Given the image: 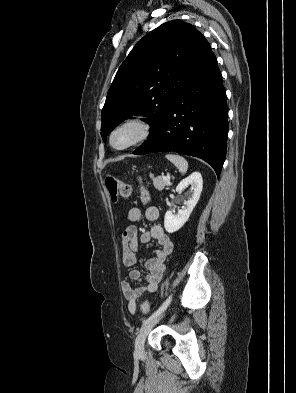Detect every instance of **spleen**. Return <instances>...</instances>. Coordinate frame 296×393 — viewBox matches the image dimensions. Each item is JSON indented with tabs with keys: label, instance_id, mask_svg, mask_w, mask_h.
Returning a JSON list of instances; mask_svg holds the SVG:
<instances>
[{
	"label": "spleen",
	"instance_id": "spleen-1",
	"mask_svg": "<svg viewBox=\"0 0 296 393\" xmlns=\"http://www.w3.org/2000/svg\"><path fill=\"white\" fill-rule=\"evenodd\" d=\"M166 158L173 163L181 174H185L188 169V162L180 155L167 154Z\"/></svg>",
	"mask_w": 296,
	"mask_h": 393
}]
</instances>
